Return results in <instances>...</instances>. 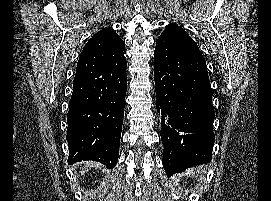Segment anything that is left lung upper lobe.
<instances>
[{
    "mask_svg": "<svg viewBox=\"0 0 271 201\" xmlns=\"http://www.w3.org/2000/svg\"><path fill=\"white\" fill-rule=\"evenodd\" d=\"M180 30H181V27L171 24L166 27V29L163 31V33L159 36L157 40H165L173 36L177 31H180Z\"/></svg>",
    "mask_w": 271,
    "mask_h": 201,
    "instance_id": "left-lung-upper-lobe-1",
    "label": "left lung upper lobe"
}]
</instances>
